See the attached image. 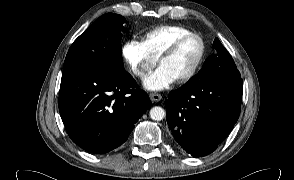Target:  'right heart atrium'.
Instances as JSON below:
<instances>
[{"label":"right heart atrium","instance_id":"1","mask_svg":"<svg viewBox=\"0 0 294 180\" xmlns=\"http://www.w3.org/2000/svg\"><path fill=\"white\" fill-rule=\"evenodd\" d=\"M121 54L127 67L137 78H143L157 62L136 39L126 40L122 45Z\"/></svg>","mask_w":294,"mask_h":180}]
</instances>
